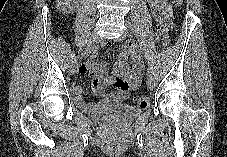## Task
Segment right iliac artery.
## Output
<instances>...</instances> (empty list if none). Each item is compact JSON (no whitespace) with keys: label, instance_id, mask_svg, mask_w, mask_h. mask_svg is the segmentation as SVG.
I'll use <instances>...</instances> for the list:
<instances>
[{"label":"right iliac artery","instance_id":"right-iliac-artery-1","mask_svg":"<svg viewBox=\"0 0 227 157\" xmlns=\"http://www.w3.org/2000/svg\"><path fill=\"white\" fill-rule=\"evenodd\" d=\"M96 45V44H95ZM98 50V48L96 47L95 48V46L94 45H91L90 46V48L88 49V48H81L80 49V51L78 52V55L79 56H82L83 55V53H96V51ZM78 56V57H79ZM78 60V59H77Z\"/></svg>","mask_w":227,"mask_h":157}]
</instances>
